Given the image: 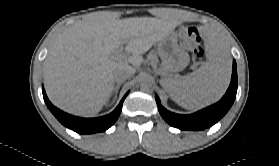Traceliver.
Here are the masks:
<instances>
[{"label":"liver","instance_id":"1","mask_svg":"<svg viewBox=\"0 0 279 166\" xmlns=\"http://www.w3.org/2000/svg\"><path fill=\"white\" fill-rule=\"evenodd\" d=\"M180 22L174 12L162 18L117 16L99 12L66 28L52 45L44 64L45 89L58 108L83 117L97 114L114 90V74L138 68L156 42ZM126 44L132 53L117 60L112 53Z\"/></svg>","mask_w":279,"mask_h":166}]
</instances>
